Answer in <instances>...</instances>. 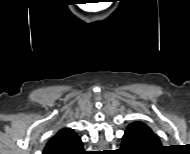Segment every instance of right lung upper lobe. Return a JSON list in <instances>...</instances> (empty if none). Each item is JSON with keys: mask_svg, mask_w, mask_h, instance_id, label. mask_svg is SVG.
<instances>
[{"mask_svg": "<svg viewBox=\"0 0 190 154\" xmlns=\"http://www.w3.org/2000/svg\"><path fill=\"white\" fill-rule=\"evenodd\" d=\"M82 150L78 135L70 128H63L48 141L42 154H79Z\"/></svg>", "mask_w": 190, "mask_h": 154, "instance_id": "cb5924a9", "label": "right lung upper lobe"}]
</instances>
